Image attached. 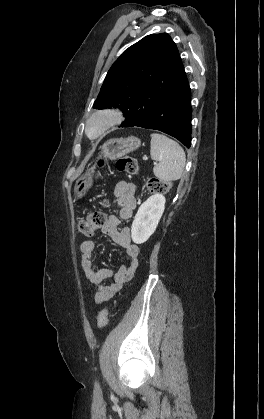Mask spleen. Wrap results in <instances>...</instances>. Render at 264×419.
Masks as SVG:
<instances>
[{"mask_svg":"<svg viewBox=\"0 0 264 419\" xmlns=\"http://www.w3.org/2000/svg\"><path fill=\"white\" fill-rule=\"evenodd\" d=\"M150 137V155L153 160L158 161L153 168L154 175L164 182L180 179L186 163L183 148L165 135L152 133Z\"/></svg>","mask_w":264,"mask_h":419,"instance_id":"1","label":"spleen"}]
</instances>
